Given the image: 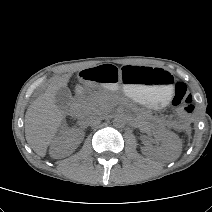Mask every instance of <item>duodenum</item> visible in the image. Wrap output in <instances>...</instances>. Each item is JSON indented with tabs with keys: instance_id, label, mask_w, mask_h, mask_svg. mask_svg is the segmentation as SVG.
Masks as SVG:
<instances>
[{
	"instance_id": "obj_1",
	"label": "duodenum",
	"mask_w": 212,
	"mask_h": 212,
	"mask_svg": "<svg viewBox=\"0 0 212 212\" xmlns=\"http://www.w3.org/2000/svg\"><path fill=\"white\" fill-rule=\"evenodd\" d=\"M69 111L71 114H76L77 112V107L74 103H72L70 106H69Z\"/></svg>"
}]
</instances>
